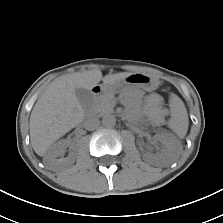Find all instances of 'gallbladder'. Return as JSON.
<instances>
[{
	"mask_svg": "<svg viewBox=\"0 0 223 223\" xmlns=\"http://www.w3.org/2000/svg\"><path fill=\"white\" fill-rule=\"evenodd\" d=\"M76 96L81 104V106L86 110L88 109L90 102L92 101L93 95L92 93L84 88H77L76 89Z\"/></svg>",
	"mask_w": 223,
	"mask_h": 223,
	"instance_id": "1",
	"label": "gallbladder"
}]
</instances>
